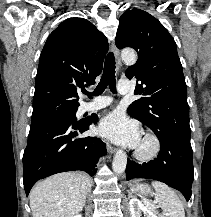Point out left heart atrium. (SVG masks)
Instances as JSON below:
<instances>
[{"instance_id": "1", "label": "left heart atrium", "mask_w": 211, "mask_h": 217, "mask_svg": "<svg viewBox=\"0 0 211 217\" xmlns=\"http://www.w3.org/2000/svg\"><path fill=\"white\" fill-rule=\"evenodd\" d=\"M98 132L115 143L132 148L138 147L141 142L138 125L118 112L103 118Z\"/></svg>"}]
</instances>
